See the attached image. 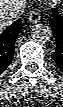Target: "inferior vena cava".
Wrapping results in <instances>:
<instances>
[{
	"label": "inferior vena cava",
	"mask_w": 63,
	"mask_h": 107,
	"mask_svg": "<svg viewBox=\"0 0 63 107\" xmlns=\"http://www.w3.org/2000/svg\"><path fill=\"white\" fill-rule=\"evenodd\" d=\"M17 4L10 9H2L1 16L2 18H8L11 22L20 18L23 14L26 2L24 0L16 1Z\"/></svg>",
	"instance_id": "obj_1"
}]
</instances>
